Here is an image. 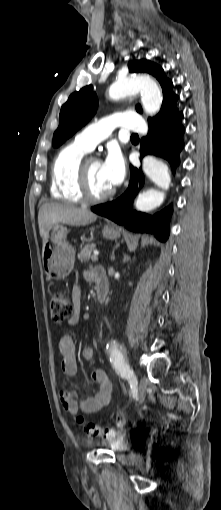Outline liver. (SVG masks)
<instances>
[{"instance_id":"liver-1","label":"liver","mask_w":221,"mask_h":510,"mask_svg":"<svg viewBox=\"0 0 221 510\" xmlns=\"http://www.w3.org/2000/svg\"><path fill=\"white\" fill-rule=\"evenodd\" d=\"M97 219V215L86 208H78L63 203H45L38 214L39 233L42 238L48 229L58 223L72 226L89 224Z\"/></svg>"}]
</instances>
